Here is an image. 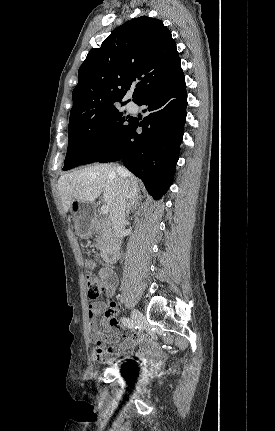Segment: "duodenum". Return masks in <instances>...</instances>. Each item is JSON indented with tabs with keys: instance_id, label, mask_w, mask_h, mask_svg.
I'll return each instance as SVG.
<instances>
[{
	"instance_id": "obj_1",
	"label": "duodenum",
	"mask_w": 275,
	"mask_h": 431,
	"mask_svg": "<svg viewBox=\"0 0 275 431\" xmlns=\"http://www.w3.org/2000/svg\"><path fill=\"white\" fill-rule=\"evenodd\" d=\"M102 226L109 229L111 224L103 221ZM102 257L108 263H115L120 257V245L116 239L110 240L102 249Z\"/></svg>"
}]
</instances>
